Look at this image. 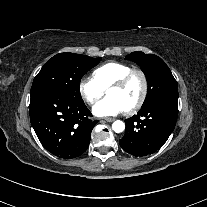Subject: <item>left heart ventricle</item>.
<instances>
[{"label": "left heart ventricle", "instance_id": "1", "mask_svg": "<svg viewBox=\"0 0 207 207\" xmlns=\"http://www.w3.org/2000/svg\"><path fill=\"white\" fill-rule=\"evenodd\" d=\"M141 92L142 81L138 76H136L124 88L109 89L107 95L117 99L126 110L136 103Z\"/></svg>", "mask_w": 207, "mask_h": 207}]
</instances>
